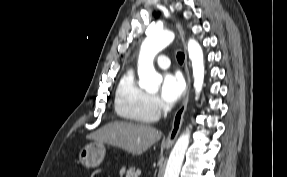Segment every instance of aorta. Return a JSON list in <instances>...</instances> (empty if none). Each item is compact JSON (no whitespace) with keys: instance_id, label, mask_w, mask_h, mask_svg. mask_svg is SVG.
<instances>
[{"instance_id":"1","label":"aorta","mask_w":287,"mask_h":177,"mask_svg":"<svg viewBox=\"0 0 287 177\" xmlns=\"http://www.w3.org/2000/svg\"><path fill=\"white\" fill-rule=\"evenodd\" d=\"M175 35L168 30L152 32L142 43L138 59L139 86L147 91L157 90L162 77L155 71L153 60L158 52L174 40ZM188 54L192 62L194 88L198 98L204 81V57L199 43L190 39ZM190 142V131L186 130L176 141L169 156L164 177H179L186 150Z\"/></svg>"}]
</instances>
